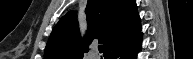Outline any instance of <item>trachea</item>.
<instances>
[{
	"mask_svg": "<svg viewBox=\"0 0 193 59\" xmlns=\"http://www.w3.org/2000/svg\"><path fill=\"white\" fill-rule=\"evenodd\" d=\"M98 50H99L100 53H102L103 50H104V46H103V45H99V46H98Z\"/></svg>",
	"mask_w": 193,
	"mask_h": 59,
	"instance_id": "obj_1",
	"label": "trachea"
}]
</instances>
